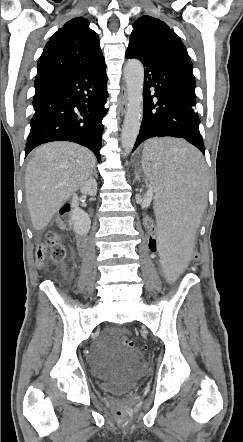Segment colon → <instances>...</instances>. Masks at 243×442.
I'll use <instances>...</instances> for the list:
<instances>
[{"label":"colon","instance_id":"colon-1","mask_svg":"<svg viewBox=\"0 0 243 442\" xmlns=\"http://www.w3.org/2000/svg\"><path fill=\"white\" fill-rule=\"evenodd\" d=\"M71 205L66 204L64 205L60 210V216L57 220V226L61 229L68 228L71 224ZM146 223L148 224L145 226V241L146 243V251L149 254L156 253L158 251V247L160 246V243L157 241L158 236L160 235V230L155 228L154 226L157 223V218L155 216H148L146 218ZM66 255V250L63 245V238L62 234L59 231L56 230H49L45 236L44 242L38 246L37 252H36V259L39 264H44L48 258L54 259V260H62ZM187 260H190L192 263H197L202 260V257L199 255L198 251H196V248H193L192 251L189 252V257H187ZM121 343L125 347H132L133 343L131 339L125 335L121 337ZM146 349L145 347H140L138 349V352L143 355L145 353ZM115 413L122 417L124 415V412L121 408H116Z\"/></svg>","mask_w":243,"mask_h":442}]
</instances>
